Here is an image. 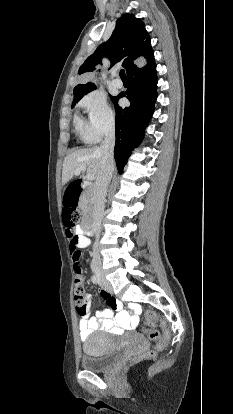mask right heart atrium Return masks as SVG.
Returning <instances> with one entry per match:
<instances>
[{"label":"right heart atrium","instance_id":"right-heart-atrium-1","mask_svg":"<svg viewBox=\"0 0 233 414\" xmlns=\"http://www.w3.org/2000/svg\"><path fill=\"white\" fill-rule=\"evenodd\" d=\"M80 106L87 116L85 141L98 142L114 130L115 114L103 95L90 93L80 101Z\"/></svg>","mask_w":233,"mask_h":414}]
</instances>
